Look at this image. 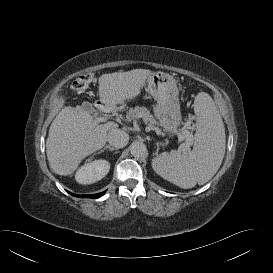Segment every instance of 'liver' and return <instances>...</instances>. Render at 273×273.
<instances>
[{
	"mask_svg": "<svg viewBox=\"0 0 273 273\" xmlns=\"http://www.w3.org/2000/svg\"><path fill=\"white\" fill-rule=\"evenodd\" d=\"M150 70L133 69L127 72L103 74L99 78L100 102L105 108H114L138 96ZM117 124H99L82 106H66L54 118L46 140L50 168L58 175L73 174L81 161L101 149L108 132Z\"/></svg>",
	"mask_w": 273,
	"mask_h": 273,
	"instance_id": "liver-1",
	"label": "liver"
}]
</instances>
